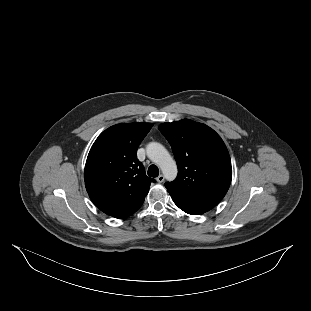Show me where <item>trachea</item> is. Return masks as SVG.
<instances>
[{"label":"trachea","mask_w":311,"mask_h":311,"mask_svg":"<svg viewBox=\"0 0 311 311\" xmlns=\"http://www.w3.org/2000/svg\"><path fill=\"white\" fill-rule=\"evenodd\" d=\"M159 175V169L156 165H150L148 168V176L157 177Z\"/></svg>","instance_id":"1"}]
</instances>
